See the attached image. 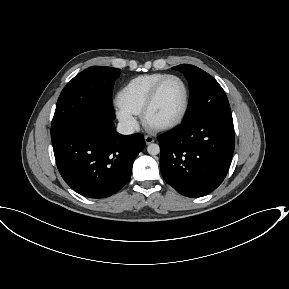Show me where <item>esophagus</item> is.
<instances>
[{
  "mask_svg": "<svg viewBox=\"0 0 289 289\" xmlns=\"http://www.w3.org/2000/svg\"><path fill=\"white\" fill-rule=\"evenodd\" d=\"M144 140H145V143H146V144H151V143L154 142V138L151 137V136H149V135H145V136H144Z\"/></svg>",
  "mask_w": 289,
  "mask_h": 289,
  "instance_id": "1",
  "label": "esophagus"
}]
</instances>
